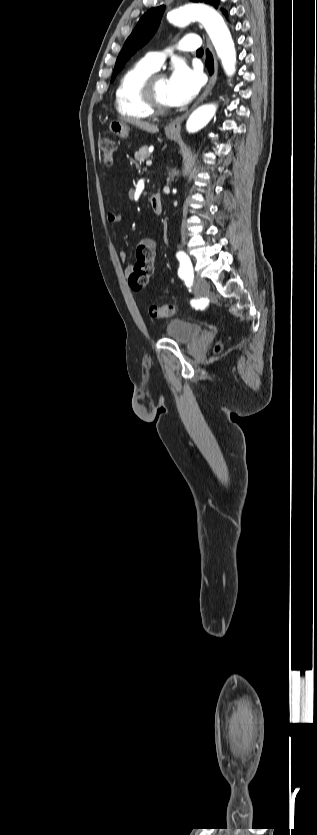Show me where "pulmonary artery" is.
<instances>
[{"label": "pulmonary artery", "mask_w": 317, "mask_h": 835, "mask_svg": "<svg viewBox=\"0 0 317 835\" xmlns=\"http://www.w3.org/2000/svg\"><path fill=\"white\" fill-rule=\"evenodd\" d=\"M201 43L197 35H186L180 39L177 44V49L181 51H196L199 49ZM165 59L163 52L152 51L146 54L144 60L153 69L157 70L162 65Z\"/></svg>", "instance_id": "obj_1"}]
</instances>
